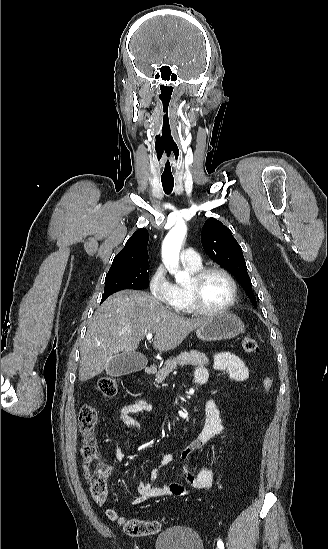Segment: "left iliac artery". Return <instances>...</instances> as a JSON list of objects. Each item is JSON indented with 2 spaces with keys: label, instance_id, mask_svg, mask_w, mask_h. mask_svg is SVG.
Returning <instances> with one entry per match:
<instances>
[{
  "label": "left iliac artery",
  "instance_id": "obj_1",
  "mask_svg": "<svg viewBox=\"0 0 328 549\" xmlns=\"http://www.w3.org/2000/svg\"><path fill=\"white\" fill-rule=\"evenodd\" d=\"M217 545H218L219 549H224V544H223V542H222L221 540H219V541L217 542Z\"/></svg>",
  "mask_w": 328,
  "mask_h": 549
}]
</instances>
